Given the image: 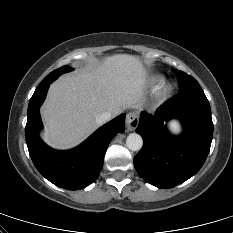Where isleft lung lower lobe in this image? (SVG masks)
Segmentation results:
<instances>
[{
  "instance_id": "0a47b994",
  "label": "left lung lower lobe",
  "mask_w": 233,
  "mask_h": 233,
  "mask_svg": "<svg viewBox=\"0 0 233 233\" xmlns=\"http://www.w3.org/2000/svg\"><path fill=\"white\" fill-rule=\"evenodd\" d=\"M179 119L184 132L174 137L165 123ZM136 132L143 147L134 157L139 175L162 189L172 188L195 175L204 164L213 136L211 109L203 91H181L155 115L142 112Z\"/></svg>"
}]
</instances>
